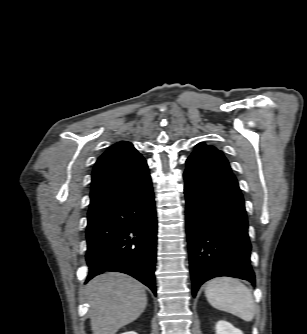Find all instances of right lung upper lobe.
<instances>
[{
  "mask_svg": "<svg viewBox=\"0 0 307 334\" xmlns=\"http://www.w3.org/2000/svg\"><path fill=\"white\" fill-rule=\"evenodd\" d=\"M150 178L145 159L127 141L107 149L97 160L93 172L88 217L127 194Z\"/></svg>",
  "mask_w": 307,
  "mask_h": 334,
  "instance_id": "cb5924a9",
  "label": "right lung upper lobe"
}]
</instances>
